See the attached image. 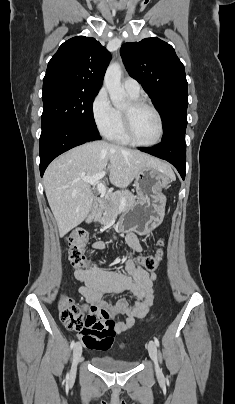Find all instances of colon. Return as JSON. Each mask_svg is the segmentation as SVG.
I'll list each match as a JSON object with an SVG mask.
<instances>
[{
	"instance_id": "1",
	"label": "colon",
	"mask_w": 235,
	"mask_h": 404,
	"mask_svg": "<svg viewBox=\"0 0 235 404\" xmlns=\"http://www.w3.org/2000/svg\"><path fill=\"white\" fill-rule=\"evenodd\" d=\"M88 232L85 229H78L71 232L67 237L69 245V259L71 264L77 268H86L89 264L85 255V245L88 242ZM158 250L154 255L137 256L135 262L147 271H154L158 268L163 256V242L159 241ZM59 317L62 323L69 329L85 328L87 333H99L105 344L111 343L114 339V333L111 330L112 321L95 314L84 316V310L78 304L63 295L58 304ZM155 315L150 316L147 321H153Z\"/></svg>"
}]
</instances>
